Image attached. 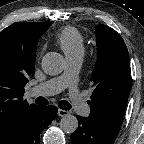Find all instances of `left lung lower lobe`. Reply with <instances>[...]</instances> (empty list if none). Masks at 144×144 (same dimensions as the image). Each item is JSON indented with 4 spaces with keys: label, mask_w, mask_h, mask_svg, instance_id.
<instances>
[{
    "label": "left lung lower lobe",
    "mask_w": 144,
    "mask_h": 144,
    "mask_svg": "<svg viewBox=\"0 0 144 144\" xmlns=\"http://www.w3.org/2000/svg\"><path fill=\"white\" fill-rule=\"evenodd\" d=\"M79 126L71 135V144H113L118 132L94 123L91 119L77 116Z\"/></svg>",
    "instance_id": "0a47b994"
}]
</instances>
